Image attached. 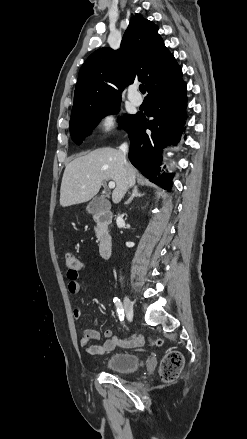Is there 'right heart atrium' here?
Segmentation results:
<instances>
[{
	"instance_id": "right-heart-atrium-1",
	"label": "right heart atrium",
	"mask_w": 247,
	"mask_h": 439,
	"mask_svg": "<svg viewBox=\"0 0 247 439\" xmlns=\"http://www.w3.org/2000/svg\"><path fill=\"white\" fill-rule=\"evenodd\" d=\"M118 125V117L113 109L104 110L97 119V128L101 136L110 135Z\"/></svg>"
}]
</instances>
